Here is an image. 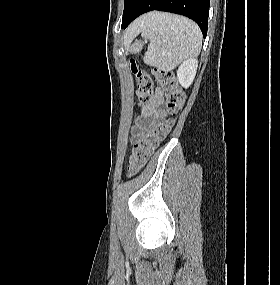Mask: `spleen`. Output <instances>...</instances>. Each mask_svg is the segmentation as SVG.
Masks as SVG:
<instances>
[{
    "mask_svg": "<svg viewBox=\"0 0 280 285\" xmlns=\"http://www.w3.org/2000/svg\"><path fill=\"white\" fill-rule=\"evenodd\" d=\"M142 36L149 39L145 64L170 71L197 56L202 46L199 27L190 19L169 13H153L145 22Z\"/></svg>",
    "mask_w": 280,
    "mask_h": 285,
    "instance_id": "spleen-1",
    "label": "spleen"
}]
</instances>
